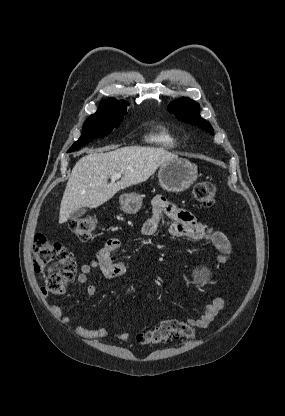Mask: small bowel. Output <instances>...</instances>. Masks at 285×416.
Masks as SVG:
<instances>
[{
    "label": "small bowel",
    "instance_id": "small-bowel-1",
    "mask_svg": "<svg viewBox=\"0 0 285 416\" xmlns=\"http://www.w3.org/2000/svg\"><path fill=\"white\" fill-rule=\"evenodd\" d=\"M164 217L171 220L167 232L177 238L188 239L199 243H207L219 252L218 260L224 263L231 254V244L227 236L218 230L199 222L195 216L188 210L178 208L161 196H157L152 201V214L143 226L142 233L146 236L154 235L161 227ZM122 243L118 239H109L105 245L98 251L96 259L91 260L81 266L77 275V282L85 285L86 294L93 297L96 293V287L90 283L89 275L93 270H99L107 279L122 278L126 275V266L120 252ZM42 294L47 297L48 292L43 289ZM225 301L222 297H216L211 304L207 305L198 318H188L186 324L191 327L206 328L208 327L218 313L224 308ZM51 313L63 324H69L73 318L66 314L62 307L51 304ZM75 332L84 339H99L109 336V329L106 327H97L89 329L83 325H77ZM130 337L128 332H121L115 336L120 341H127Z\"/></svg>",
    "mask_w": 285,
    "mask_h": 416
}]
</instances>
